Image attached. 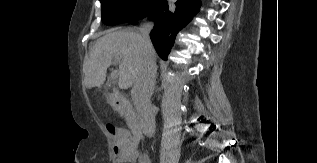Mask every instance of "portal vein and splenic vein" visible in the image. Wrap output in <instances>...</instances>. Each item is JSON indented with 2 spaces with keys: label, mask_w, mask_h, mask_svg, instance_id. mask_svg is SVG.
Listing matches in <instances>:
<instances>
[{
  "label": "portal vein and splenic vein",
  "mask_w": 317,
  "mask_h": 163,
  "mask_svg": "<svg viewBox=\"0 0 317 163\" xmlns=\"http://www.w3.org/2000/svg\"><path fill=\"white\" fill-rule=\"evenodd\" d=\"M120 62V60L118 58H115L114 59V63L115 64H118ZM118 75H119V72L118 70H114L112 73H111V79L112 81H116V79L118 78Z\"/></svg>",
  "instance_id": "1"
}]
</instances>
